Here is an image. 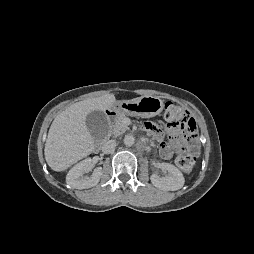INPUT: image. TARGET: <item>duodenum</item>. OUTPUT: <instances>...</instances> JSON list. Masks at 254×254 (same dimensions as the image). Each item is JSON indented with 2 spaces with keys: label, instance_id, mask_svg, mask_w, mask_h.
<instances>
[{
  "label": "duodenum",
  "instance_id": "410a0bca",
  "mask_svg": "<svg viewBox=\"0 0 254 254\" xmlns=\"http://www.w3.org/2000/svg\"><path fill=\"white\" fill-rule=\"evenodd\" d=\"M118 115H119L118 111H116V110H111V111H109V112L107 113V118H108V120H112V119H114L115 117H117ZM98 150H99V148L96 147V148H95V151H98Z\"/></svg>",
  "mask_w": 254,
  "mask_h": 254
}]
</instances>
